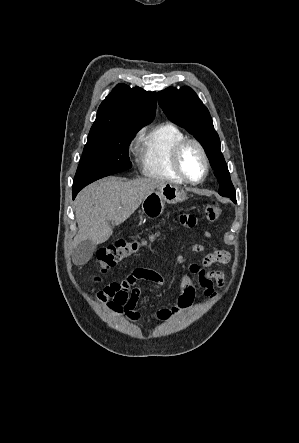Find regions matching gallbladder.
<instances>
[{"label":"gallbladder","instance_id":"bac80fb5","mask_svg":"<svg viewBox=\"0 0 299 443\" xmlns=\"http://www.w3.org/2000/svg\"><path fill=\"white\" fill-rule=\"evenodd\" d=\"M97 245L90 240L80 242L74 247L73 260L77 264H84L90 260Z\"/></svg>","mask_w":299,"mask_h":443}]
</instances>
